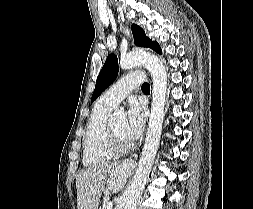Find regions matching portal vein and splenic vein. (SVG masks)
Returning <instances> with one entry per match:
<instances>
[{"instance_id": "1", "label": "portal vein and splenic vein", "mask_w": 253, "mask_h": 209, "mask_svg": "<svg viewBox=\"0 0 253 209\" xmlns=\"http://www.w3.org/2000/svg\"><path fill=\"white\" fill-rule=\"evenodd\" d=\"M112 207H113L112 202H109L107 209H112Z\"/></svg>"}]
</instances>
